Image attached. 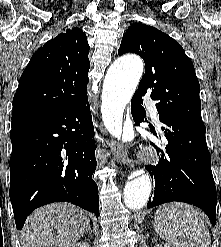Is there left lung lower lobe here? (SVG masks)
I'll list each match as a JSON object with an SVG mask.
<instances>
[{
  "mask_svg": "<svg viewBox=\"0 0 221 247\" xmlns=\"http://www.w3.org/2000/svg\"><path fill=\"white\" fill-rule=\"evenodd\" d=\"M142 104V96L135 93L131 100V113L136 125L144 122L146 112ZM159 120L163 124L161 134L168 140L167 154L165 156L153 144L162 155L156 166L146 167L155 180L154 197L149 200L147 208L172 201L193 204L204 210L215 226L217 196L204 124L160 116ZM151 131L160 137L154 129Z\"/></svg>",
  "mask_w": 221,
  "mask_h": 247,
  "instance_id": "left-lung-lower-lobe-1",
  "label": "left lung lower lobe"
}]
</instances>
